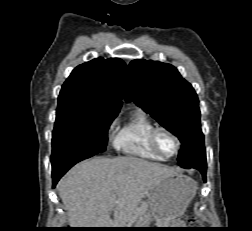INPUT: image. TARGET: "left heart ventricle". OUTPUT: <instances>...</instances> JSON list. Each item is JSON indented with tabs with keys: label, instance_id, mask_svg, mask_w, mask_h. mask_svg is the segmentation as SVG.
<instances>
[{
	"label": "left heart ventricle",
	"instance_id": "obj_1",
	"mask_svg": "<svg viewBox=\"0 0 252 231\" xmlns=\"http://www.w3.org/2000/svg\"><path fill=\"white\" fill-rule=\"evenodd\" d=\"M158 146L164 155H171L176 150L175 140L167 133H160L158 136Z\"/></svg>",
	"mask_w": 252,
	"mask_h": 231
}]
</instances>
